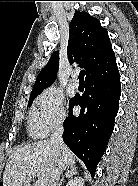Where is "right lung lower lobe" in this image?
<instances>
[{
	"instance_id": "1",
	"label": "right lung lower lobe",
	"mask_w": 138,
	"mask_h": 186,
	"mask_svg": "<svg viewBox=\"0 0 138 186\" xmlns=\"http://www.w3.org/2000/svg\"><path fill=\"white\" fill-rule=\"evenodd\" d=\"M121 95L120 75L86 81L85 92L70 100L63 140L87 166L92 176L114 129ZM81 107L79 116L72 108Z\"/></svg>"
}]
</instances>
